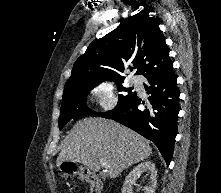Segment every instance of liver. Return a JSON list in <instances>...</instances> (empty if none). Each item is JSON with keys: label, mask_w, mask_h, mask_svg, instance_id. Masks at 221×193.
Listing matches in <instances>:
<instances>
[{"label": "liver", "mask_w": 221, "mask_h": 193, "mask_svg": "<svg viewBox=\"0 0 221 193\" xmlns=\"http://www.w3.org/2000/svg\"><path fill=\"white\" fill-rule=\"evenodd\" d=\"M152 154L149 141L112 120L89 117L79 120L65 138L57 157V166L63 162L81 163L88 169L98 171L100 160L110 165V178Z\"/></svg>", "instance_id": "liver-1"}]
</instances>
